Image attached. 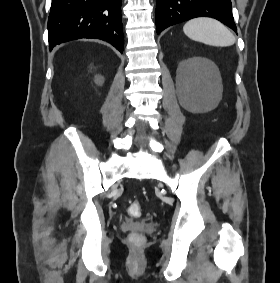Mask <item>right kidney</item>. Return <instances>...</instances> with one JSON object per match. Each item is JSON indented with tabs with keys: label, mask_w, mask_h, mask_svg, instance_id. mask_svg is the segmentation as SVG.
Listing matches in <instances>:
<instances>
[{
	"label": "right kidney",
	"mask_w": 280,
	"mask_h": 283,
	"mask_svg": "<svg viewBox=\"0 0 280 283\" xmlns=\"http://www.w3.org/2000/svg\"><path fill=\"white\" fill-rule=\"evenodd\" d=\"M97 80H98V81H101V78H100V77H98V78H97Z\"/></svg>",
	"instance_id": "1"
}]
</instances>
